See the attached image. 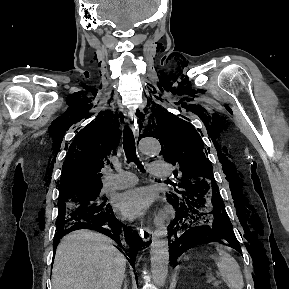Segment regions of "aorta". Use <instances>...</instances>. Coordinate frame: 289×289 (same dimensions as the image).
Returning a JSON list of instances; mask_svg holds the SVG:
<instances>
[{"instance_id":"obj_1","label":"aorta","mask_w":289,"mask_h":289,"mask_svg":"<svg viewBox=\"0 0 289 289\" xmlns=\"http://www.w3.org/2000/svg\"><path fill=\"white\" fill-rule=\"evenodd\" d=\"M142 155L156 157L161 152V146L157 139L144 137L139 142ZM167 228L162 226L154 232L150 248L151 271L154 284L157 287L165 285L168 275L169 247Z\"/></svg>"}]
</instances>
